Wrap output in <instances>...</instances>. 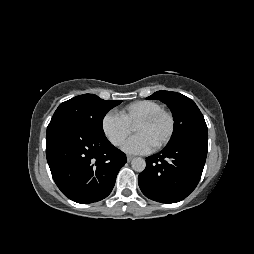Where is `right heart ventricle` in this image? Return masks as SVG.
<instances>
[{"mask_svg":"<svg viewBox=\"0 0 254 254\" xmlns=\"http://www.w3.org/2000/svg\"><path fill=\"white\" fill-rule=\"evenodd\" d=\"M163 109L162 105L152 100H138L121 108L118 114L130 125L134 126L140 119Z\"/></svg>","mask_w":254,"mask_h":254,"instance_id":"1","label":"right heart ventricle"}]
</instances>
